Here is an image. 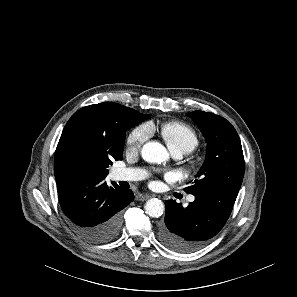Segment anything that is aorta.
Returning <instances> with one entry per match:
<instances>
[{
  "label": "aorta",
  "instance_id": "obj_1",
  "mask_svg": "<svg viewBox=\"0 0 297 297\" xmlns=\"http://www.w3.org/2000/svg\"><path fill=\"white\" fill-rule=\"evenodd\" d=\"M142 158L149 163H161L168 157L166 148L159 142H147L141 149ZM145 212L150 217H160L164 212V204L160 199H149L145 204Z\"/></svg>",
  "mask_w": 297,
  "mask_h": 297
}]
</instances>
